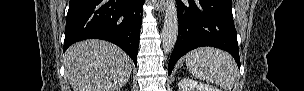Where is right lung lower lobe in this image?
Wrapping results in <instances>:
<instances>
[{"instance_id": "obj_1", "label": "right lung lower lobe", "mask_w": 304, "mask_h": 91, "mask_svg": "<svg viewBox=\"0 0 304 91\" xmlns=\"http://www.w3.org/2000/svg\"><path fill=\"white\" fill-rule=\"evenodd\" d=\"M145 0H70L64 51L85 39H103L121 47L137 65L142 6Z\"/></svg>"}]
</instances>
